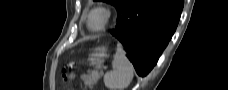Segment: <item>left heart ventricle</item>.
Returning a JSON list of instances; mask_svg holds the SVG:
<instances>
[{"instance_id": "obj_1", "label": "left heart ventricle", "mask_w": 228, "mask_h": 90, "mask_svg": "<svg viewBox=\"0 0 228 90\" xmlns=\"http://www.w3.org/2000/svg\"><path fill=\"white\" fill-rule=\"evenodd\" d=\"M103 16L100 12H95L90 18V27L98 28L102 24Z\"/></svg>"}]
</instances>
